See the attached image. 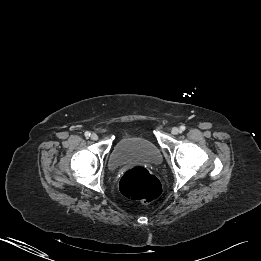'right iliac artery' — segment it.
<instances>
[{"label": "right iliac artery", "mask_w": 261, "mask_h": 261, "mask_svg": "<svg viewBox=\"0 0 261 261\" xmlns=\"http://www.w3.org/2000/svg\"><path fill=\"white\" fill-rule=\"evenodd\" d=\"M89 136H90V132L86 131V132H85V137L88 138Z\"/></svg>", "instance_id": "right-iliac-artery-1"}]
</instances>
